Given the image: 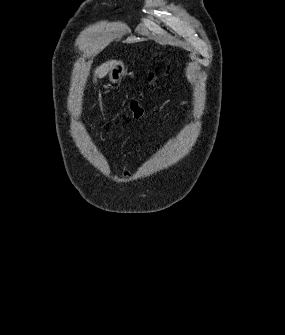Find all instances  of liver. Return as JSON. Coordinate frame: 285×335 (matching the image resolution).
<instances>
[{"instance_id": "6515ba94", "label": "liver", "mask_w": 285, "mask_h": 335, "mask_svg": "<svg viewBox=\"0 0 285 335\" xmlns=\"http://www.w3.org/2000/svg\"><path fill=\"white\" fill-rule=\"evenodd\" d=\"M113 64H115V62L114 60H111V62H106V64L98 66L95 70V74H98L99 78H104V76H107L108 72H110Z\"/></svg>"}]
</instances>
